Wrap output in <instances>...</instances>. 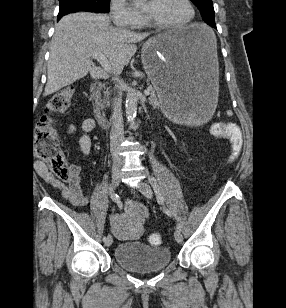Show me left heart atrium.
Listing matches in <instances>:
<instances>
[{"label": "left heart atrium", "instance_id": "obj_1", "mask_svg": "<svg viewBox=\"0 0 286 308\" xmlns=\"http://www.w3.org/2000/svg\"><path fill=\"white\" fill-rule=\"evenodd\" d=\"M152 2L153 1H150L145 7H144V10L149 14L150 12V9H151V6H152Z\"/></svg>", "mask_w": 286, "mask_h": 308}]
</instances>
